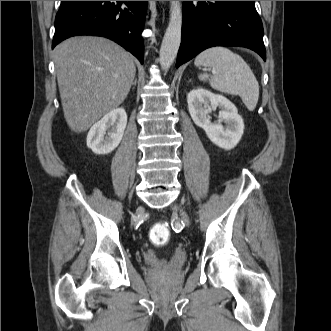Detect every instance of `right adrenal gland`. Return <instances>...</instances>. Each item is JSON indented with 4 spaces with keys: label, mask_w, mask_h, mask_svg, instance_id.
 Returning <instances> with one entry per match:
<instances>
[{
    "label": "right adrenal gland",
    "mask_w": 331,
    "mask_h": 331,
    "mask_svg": "<svg viewBox=\"0 0 331 331\" xmlns=\"http://www.w3.org/2000/svg\"><path fill=\"white\" fill-rule=\"evenodd\" d=\"M136 82H137V80H135V81L132 83V85L136 86Z\"/></svg>",
    "instance_id": "obj_1"
}]
</instances>
